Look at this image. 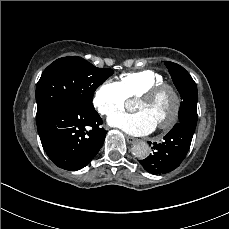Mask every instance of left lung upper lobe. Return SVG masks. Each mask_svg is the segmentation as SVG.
Segmentation results:
<instances>
[{"label": "left lung upper lobe", "mask_w": 229, "mask_h": 229, "mask_svg": "<svg viewBox=\"0 0 229 229\" xmlns=\"http://www.w3.org/2000/svg\"><path fill=\"white\" fill-rule=\"evenodd\" d=\"M172 77L173 83L183 99L179 109V122H185V110L189 99H198L197 86L189 73L180 65L170 61L165 62Z\"/></svg>", "instance_id": "left-lung-upper-lobe-1"}]
</instances>
